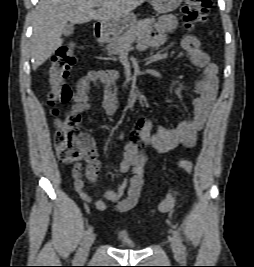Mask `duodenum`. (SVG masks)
<instances>
[{
	"instance_id": "410a0bca",
	"label": "duodenum",
	"mask_w": 254,
	"mask_h": 267,
	"mask_svg": "<svg viewBox=\"0 0 254 267\" xmlns=\"http://www.w3.org/2000/svg\"><path fill=\"white\" fill-rule=\"evenodd\" d=\"M104 29L102 23H97L94 29V38L96 40H101L103 38Z\"/></svg>"
}]
</instances>
